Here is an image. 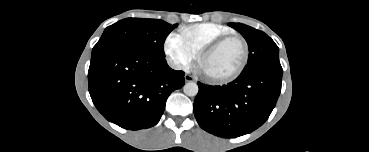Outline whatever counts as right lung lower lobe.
<instances>
[{"label":"right lung lower lobe","instance_id":"right-lung-lower-lobe-1","mask_svg":"<svg viewBox=\"0 0 369 152\" xmlns=\"http://www.w3.org/2000/svg\"><path fill=\"white\" fill-rule=\"evenodd\" d=\"M89 93L98 111L129 130L156 125L168 96L184 83V72L165 59L131 49L115 48L92 56Z\"/></svg>","mask_w":369,"mask_h":152}]
</instances>
